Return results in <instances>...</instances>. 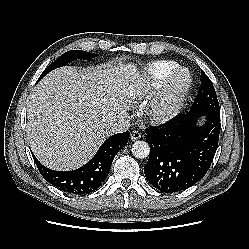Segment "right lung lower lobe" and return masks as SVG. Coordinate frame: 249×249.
I'll return each mask as SVG.
<instances>
[{
    "label": "right lung lower lobe",
    "instance_id": "right-lung-lower-lobe-1",
    "mask_svg": "<svg viewBox=\"0 0 249 249\" xmlns=\"http://www.w3.org/2000/svg\"><path fill=\"white\" fill-rule=\"evenodd\" d=\"M129 135V132H124L109 137L86 165L73 171L50 170L33 157L41 175L49 183L68 193L88 194L101 186L116 153L127 144Z\"/></svg>",
    "mask_w": 249,
    "mask_h": 249
}]
</instances>
